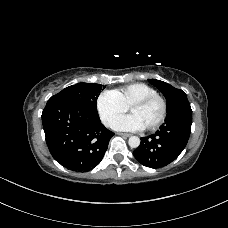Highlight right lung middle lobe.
Listing matches in <instances>:
<instances>
[{
  "label": "right lung middle lobe",
  "mask_w": 228,
  "mask_h": 228,
  "mask_svg": "<svg viewBox=\"0 0 228 228\" xmlns=\"http://www.w3.org/2000/svg\"><path fill=\"white\" fill-rule=\"evenodd\" d=\"M101 84L77 83L63 89L49 100H65L84 106L97 113L96 102L101 89Z\"/></svg>",
  "instance_id": "1"
}]
</instances>
